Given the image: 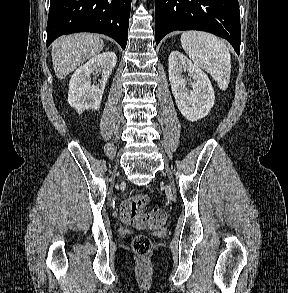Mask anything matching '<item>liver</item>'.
<instances>
[{
    "label": "liver",
    "instance_id": "1",
    "mask_svg": "<svg viewBox=\"0 0 288 293\" xmlns=\"http://www.w3.org/2000/svg\"><path fill=\"white\" fill-rule=\"evenodd\" d=\"M104 48V41L97 35L78 33L62 36L52 43V63L58 79L69 73L90 58L98 55Z\"/></svg>",
    "mask_w": 288,
    "mask_h": 293
}]
</instances>
